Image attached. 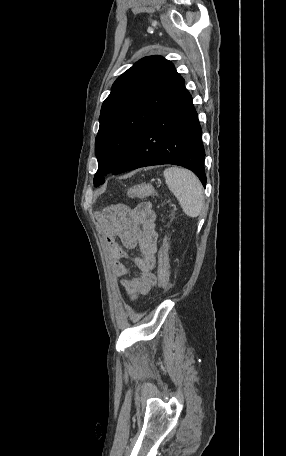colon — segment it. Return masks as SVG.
Masks as SVG:
<instances>
[{
  "label": "colon",
  "mask_w": 286,
  "mask_h": 456,
  "mask_svg": "<svg viewBox=\"0 0 286 456\" xmlns=\"http://www.w3.org/2000/svg\"><path fill=\"white\" fill-rule=\"evenodd\" d=\"M156 188L149 184H138L130 187L127 195L130 197H145L153 195ZM159 285L162 289L169 287V261L166 250H162L159 258L158 266Z\"/></svg>",
  "instance_id": "colon-1"
}]
</instances>
